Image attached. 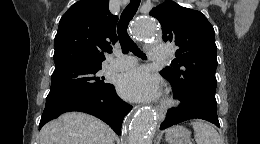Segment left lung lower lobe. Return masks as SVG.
<instances>
[{"label": "left lung lower lobe", "instance_id": "left-lung-lower-lobe-1", "mask_svg": "<svg viewBox=\"0 0 260 144\" xmlns=\"http://www.w3.org/2000/svg\"><path fill=\"white\" fill-rule=\"evenodd\" d=\"M178 99L181 101V104L176 108L168 110L165 120L160 125L161 129H166L190 119L206 120L220 127L215 98L194 92L187 97Z\"/></svg>", "mask_w": 260, "mask_h": 144}]
</instances>
